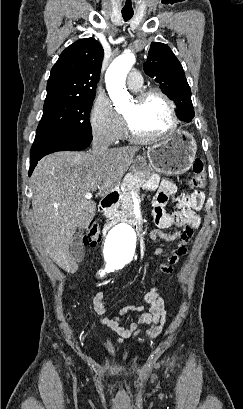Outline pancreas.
Segmentation results:
<instances>
[{
  "label": "pancreas",
  "mask_w": 243,
  "mask_h": 409,
  "mask_svg": "<svg viewBox=\"0 0 243 409\" xmlns=\"http://www.w3.org/2000/svg\"><path fill=\"white\" fill-rule=\"evenodd\" d=\"M147 173L145 171L129 172L122 181L121 198L116 206L109 209L105 216L110 220H120L134 217L133 198L131 192L138 193L140 188L145 187Z\"/></svg>",
  "instance_id": "cf45deb5"
}]
</instances>
